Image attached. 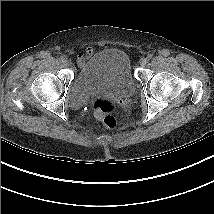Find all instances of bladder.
Here are the masks:
<instances>
[{
  "mask_svg": "<svg viewBox=\"0 0 214 214\" xmlns=\"http://www.w3.org/2000/svg\"><path fill=\"white\" fill-rule=\"evenodd\" d=\"M135 90L128 56L118 49H105L85 62L70 87V101L81 102L95 92L126 97Z\"/></svg>",
  "mask_w": 214,
  "mask_h": 214,
  "instance_id": "bladder-1",
  "label": "bladder"
}]
</instances>
